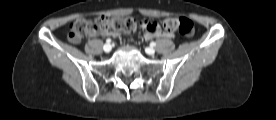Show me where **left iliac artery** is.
<instances>
[{
    "mask_svg": "<svg viewBox=\"0 0 276 120\" xmlns=\"http://www.w3.org/2000/svg\"><path fill=\"white\" fill-rule=\"evenodd\" d=\"M150 46L154 47V46H156V43L155 42H151Z\"/></svg>",
    "mask_w": 276,
    "mask_h": 120,
    "instance_id": "44dca946",
    "label": "left iliac artery"
}]
</instances>
